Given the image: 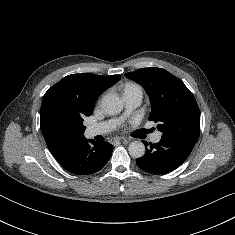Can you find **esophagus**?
<instances>
[{
    "mask_svg": "<svg viewBox=\"0 0 235 235\" xmlns=\"http://www.w3.org/2000/svg\"><path fill=\"white\" fill-rule=\"evenodd\" d=\"M120 141H127V138L125 137H113L110 139L111 144H117Z\"/></svg>",
    "mask_w": 235,
    "mask_h": 235,
    "instance_id": "1",
    "label": "esophagus"
}]
</instances>
